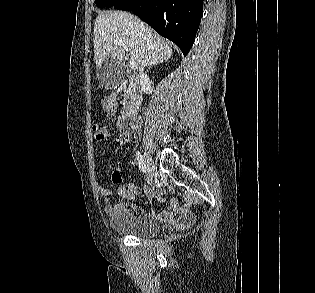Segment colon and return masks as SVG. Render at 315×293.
<instances>
[{
  "label": "colon",
  "mask_w": 315,
  "mask_h": 293,
  "mask_svg": "<svg viewBox=\"0 0 315 293\" xmlns=\"http://www.w3.org/2000/svg\"><path fill=\"white\" fill-rule=\"evenodd\" d=\"M93 133H94L95 139L98 140V141H102V140H104L107 137L106 130L103 127L99 126L98 124H95L93 126ZM114 181L116 183H118L120 181V176H119L118 173H116L114 175ZM123 190H129V189L126 188L125 186H119L118 193H119L120 196H122V191Z\"/></svg>",
  "instance_id": "5ec220e1"
}]
</instances>
